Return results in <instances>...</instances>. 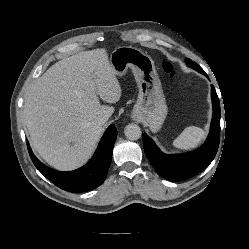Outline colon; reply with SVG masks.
<instances>
[{"label": "colon", "instance_id": "5ec220e1", "mask_svg": "<svg viewBox=\"0 0 249 249\" xmlns=\"http://www.w3.org/2000/svg\"><path fill=\"white\" fill-rule=\"evenodd\" d=\"M163 69L167 72L172 78L176 79L178 77V72L175 69L174 65L170 62L163 63Z\"/></svg>", "mask_w": 249, "mask_h": 249}]
</instances>
